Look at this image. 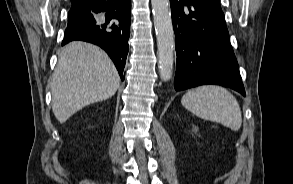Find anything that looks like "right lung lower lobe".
Wrapping results in <instances>:
<instances>
[{
	"label": "right lung lower lobe",
	"instance_id": "right-lung-lower-lobe-1",
	"mask_svg": "<svg viewBox=\"0 0 293 184\" xmlns=\"http://www.w3.org/2000/svg\"><path fill=\"white\" fill-rule=\"evenodd\" d=\"M130 23L131 0H94L72 4L62 45L82 40L100 46L113 60L124 80Z\"/></svg>",
	"mask_w": 293,
	"mask_h": 184
}]
</instances>
